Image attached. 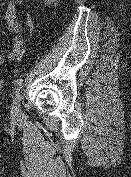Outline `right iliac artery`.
Instances as JSON below:
<instances>
[{"mask_svg": "<svg viewBox=\"0 0 131 177\" xmlns=\"http://www.w3.org/2000/svg\"><path fill=\"white\" fill-rule=\"evenodd\" d=\"M22 82H23V80L21 78L17 79V81L15 82L14 93L16 96L19 94V91L22 87Z\"/></svg>", "mask_w": 131, "mask_h": 177, "instance_id": "obj_1", "label": "right iliac artery"}]
</instances>
